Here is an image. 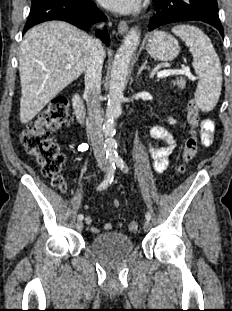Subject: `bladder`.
Here are the masks:
<instances>
[{"mask_svg":"<svg viewBox=\"0 0 232 311\" xmlns=\"http://www.w3.org/2000/svg\"><path fill=\"white\" fill-rule=\"evenodd\" d=\"M92 251L106 261H118L127 257L134 248L131 238L119 232H105L95 236L91 242Z\"/></svg>","mask_w":232,"mask_h":311,"instance_id":"obj_1","label":"bladder"}]
</instances>
